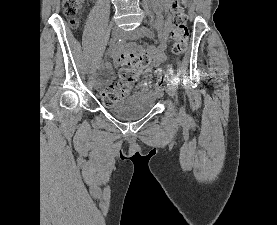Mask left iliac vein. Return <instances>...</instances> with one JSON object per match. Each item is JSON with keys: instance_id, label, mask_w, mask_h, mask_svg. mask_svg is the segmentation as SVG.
I'll return each instance as SVG.
<instances>
[{"instance_id": "1", "label": "left iliac vein", "mask_w": 277, "mask_h": 225, "mask_svg": "<svg viewBox=\"0 0 277 225\" xmlns=\"http://www.w3.org/2000/svg\"><path fill=\"white\" fill-rule=\"evenodd\" d=\"M143 36V32L142 29H135L129 32H125L123 35L124 39H129V40H137L139 38H141ZM176 90H177V83L171 79V81L168 84V89L167 92L169 94V96L173 99L176 98Z\"/></svg>"}]
</instances>
